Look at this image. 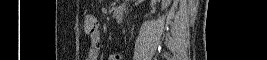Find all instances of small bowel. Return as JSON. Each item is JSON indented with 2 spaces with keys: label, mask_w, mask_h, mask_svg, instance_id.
<instances>
[{
  "label": "small bowel",
  "mask_w": 267,
  "mask_h": 60,
  "mask_svg": "<svg viewBox=\"0 0 267 60\" xmlns=\"http://www.w3.org/2000/svg\"><path fill=\"white\" fill-rule=\"evenodd\" d=\"M101 49V36L97 31L90 35V43L87 51V60H97ZM108 60H122V54L114 52L107 58Z\"/></svg>",
  "instance_id": "small-bowel-1"
}]
</instances>
